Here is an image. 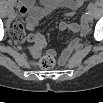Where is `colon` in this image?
I'll use <instances>...</instances> for the list:
<instances>
[{
    "instance_id": "colon-1",
    "label": "colon",
    "mask_w": 103,
    "mask_h": 103,
    "mask_svg": "<svg viewBox=\"0 0 103 103\" xmlns=\"http://www.w3.org/2000/svg\"><path fill=\"white\" fill-rule=\"evenodd\" d=\"M56 63V57L54 54H47L39 61V66L43 69H50Z\"/></svg>"
}]
</instances>
